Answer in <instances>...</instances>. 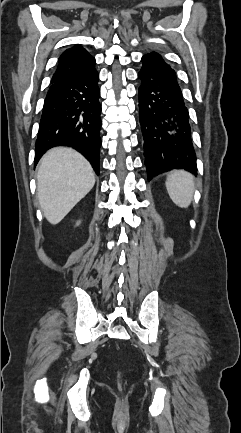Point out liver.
<instances>
[{
  "mask_svg": "<svg viewBox=\"0 0 241 433\" xmlns=\"http://www.w3.org/2000/svg\"><path fill=\"white\" fill-rule=\"evenodd\" d=\"M94 184V171L80 153L68 147L46 152L38 165L37 194L48 222L58 224Z\"/></svg>",
  "mask_w": 241,
  "mask_h": 433,
  "instance_id": "1",
  "label": "liver"
}]
</instances>
